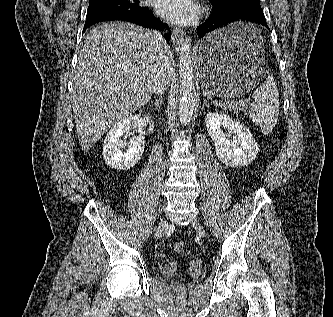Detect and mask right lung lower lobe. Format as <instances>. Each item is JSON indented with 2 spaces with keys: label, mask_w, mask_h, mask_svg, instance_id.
<instances>
[{
  "label": "right lung lower lobe",
  "mask_w": 333,
  "mask_h": 317,
  "mask_svg": "<svg viewBox=\"0 0 333 317\" xmlns=\"http://www.w3.org/2000/svg\"><path fill=\"white\" fill-rule=\"evenodd\" d=\"M127 21L134 23L143 27L153 28L162 30L166 28L169 30L166 24H163L159 19H157L152 11L147 7H142L138 10H128L124 11H100L92 14H87L84 31L95 23L101 21ZM165 38L167 41L170 39V34L165 33Z\"/></svg>",
  "instance_id": "1"
}]
</instances>
